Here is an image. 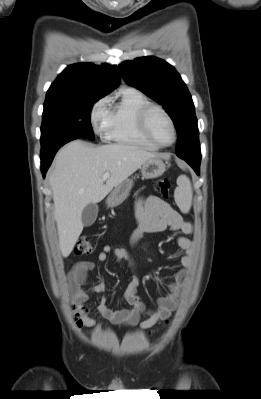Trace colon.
<instances>
[{
  "mask_svg": "<svg viewBox=\"0 0 261 399\" xmlns=\"http://www.w3.org/2000/svg\"><path fill=\"white\" fill-rule=\"evenodd\" d=\"M158 188L160 193L167 197L171 190V183L168 178H161L158 181ZM94 250V243L88 235H82L78 238V241L75 246V254L76 255H87L91 254ZM73 310V318L77 322V324H81L82 314L85 311L84 308L79 307L74 304L72 307Z\"/></svg>",
  "mask_w": 261,
  "mask_h": 399,
  "instance_id": "obj_1",
  "label": "colon"
}]
</instances>
